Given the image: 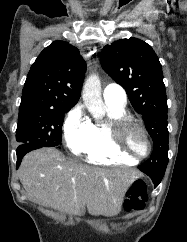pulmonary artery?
Segmentation results:
<instances>
[{"label": "pulmonary artery", "mask_w": 187, "mask_h": 242, "mask_svg": "<svg viewBox=\"0 0 187 242\" xmlns=\"http://www.w3.org/2000/svg\"><path fill=\"white\" fill-rule=\"evenodd\" d=\"M103 100L107 106L119 108L126 106L127 96L120 85L112 83L105 87Z\"/></svg>", "instance_id": "pulmonary-artery-1"}]
</instances>
